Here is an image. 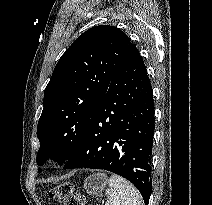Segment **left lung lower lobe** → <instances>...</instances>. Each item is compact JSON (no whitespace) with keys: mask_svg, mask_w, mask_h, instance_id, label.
Here are the masks:
<instances>
[{"mask_svg":"<svg viewBox=\"0 0 212 205\" xmlns=\"http://www.w3.org/2000/svg\"><path fill=\"white\" fill-rule=\"evenodd\" d=\"M154 102L145 64L134 44L119 63L83 139L64 169L96 168L132 182L148 205Z\"/></svg>","mask_w":212,"mask_h":205,"instance_id":"0a47b994","label":"left lung lower lobe"}]
</instances>
